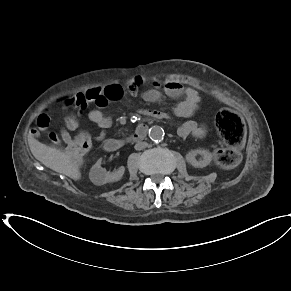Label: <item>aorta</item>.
I'll return each instance as SVG.
<instances>
[{
    "label": "aorta",
    "instance_id": "1",
    "mask_svg": "<svg viewBox=\"0 0 291 291\" xmlns=\"http://www.w3.org/2000/svg\"><path fill=\"white\" fill-rule=\"evenodd\" d=\"M149 137L151 140L153 141H156V142H160L163 140L164 138V130L162 127L160 126H152L150 129H149Z\"/></svg>",
    "mask_w": 291,
    "mask_h": 291
}]
</instances>
